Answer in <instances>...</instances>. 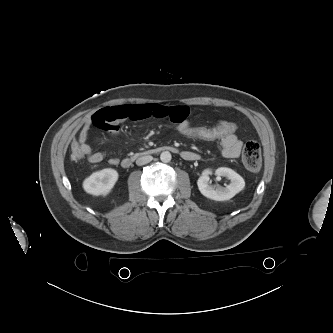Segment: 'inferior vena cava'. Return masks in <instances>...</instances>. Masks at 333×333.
I'll return each mask as SVG.
<instances>
[{
  "label": "inferior vena cava",
  "instance_id": "602c4592",
  "mask_svg": "<svg viewBox=\"0 0 333 333\" xmlns=\"http://www.w3.org/2000/svg\"><path fill=\"white\" fill-rule=\"evenodd\" d=\"M150 161H152V156H150V155L142 156L136 160V164L138 166H142V165L149 163Z\"/></svg>",
  "mask_w": 333,
  "mask_h": 333
}]
</instances>
